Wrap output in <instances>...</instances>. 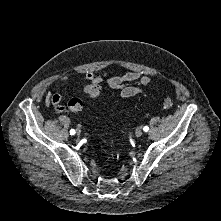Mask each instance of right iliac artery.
I'll return each instance as SVG.
<instances>
[{
  "label": "right iliac artery",
  "mask_w": 221,
  "mask_h": 221,
  "mask_svg": "<svg viewBox=\"0 0 221 221\" xmlns=\"http://www.w3.org/2000/svg\"><path fill=\"white\" fill-rule=\"evenodd\" d=\"M70 134H71V135H74V134H75V130H74V129H71V130H70Z\"/></svg>",
  "instance_id": "obj_1"
}]
</instances>
